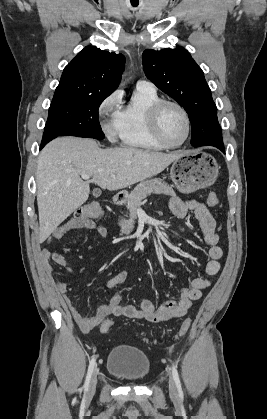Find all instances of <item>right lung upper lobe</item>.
Wrapping results in <instances>:
<instances>
[{
    "instance_id": "right-lung-upper-lobe-1",
    "label": "right lung upper lobe",
    "mask_w": 267,
    "mask_h": 419,
    "mask_svg": "<svg viewBox=\"0 0 267 419\" xmlns=\"http://www.w3.org/2000/svg\"><path fill=\"white\" fill-rule=\"evenodd\" d=\"M125 64L122 54L85 47L64 69L54 95H110Z\"/></svg>"
}]
</instances>
